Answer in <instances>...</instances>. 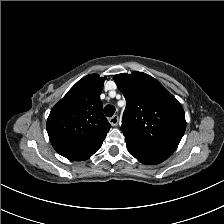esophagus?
<instances>
[{
    "instance_id": "obj_1",
    "label": "esophagus",
    "mask_w": 224,
    "mask_h": 224,
    "mask_svg": "<svg viewBox=\"0 0 224 224\" xmlns=\"http://www.w3.org/2000/svg\"><path fill=\"white\" fill-rule=\"evenodd\" d=\"M109 122L112 126H117L119 122V117L118 115H114L109 119Z\"/></svg>"
}]
</instances>
